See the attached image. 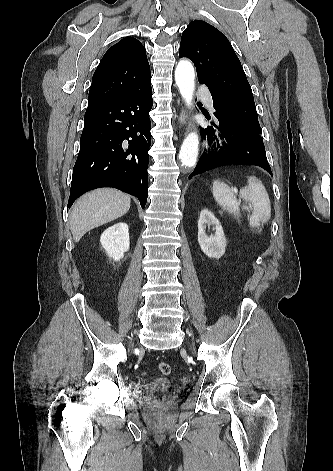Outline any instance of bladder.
Listing matches in <instances>:
<instances>
[{"label":"bladder","mask_w":333,"mask_h":471,"mask_svg":"<svg viewBox=\"0 0 333 471\" xmlns=\"http://www.w3.org/2000/svg\"><path fill=\"white\" fill-rule=\"evenodd\" d=\"M173 382L165 377H157L149 381L144 387L153 392H164L171 389Z\"/></svg>","instance_id":"1"}]
</instances>
